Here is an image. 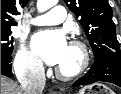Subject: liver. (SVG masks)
Returning <instances> with one entry per match:
<instances>
[{"mask_svg":"<svg viewBox=\"0 0 121 94\" xmlns=\"http://www.w3.org/2000/svg\"><path fill=\"white\" fill-rule=\"evenodd\" d=\"M1 94H23L21 87L9 78L1 75Z\"/></svg>","mask_w":121,"mask_h":94,"instance_id":"1","label":"liver"}]
</instances>
